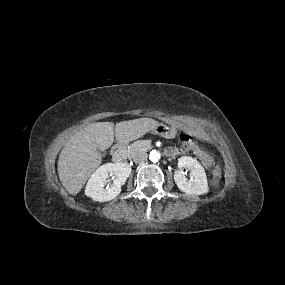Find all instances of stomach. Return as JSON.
I'll return each instance as SVG.
<instances>
[{
	"label": "stomach",
	"mask_w": 285,
	"mask_h": 285,
	"mask_svg": "<svg viewBox=\"0 0 285 285\" xmlns=\"http://www.w3.org/2000/svg\"><path fill=\"white\" fill-rule=\"evenodd\" d=\"M153 132L164 137H170L175 132V129L164 124H158L153 129Z\"/></svg>",
	"instance_id": "stomach-1"
}]
</instances>
